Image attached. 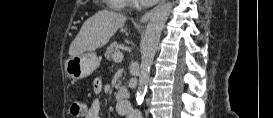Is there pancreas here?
<instances>
[{"mask_svg":"<svg viewBox=\"0 0 273 118\" xmlns=\"http://www.w3.org/2000/svg\"><path fill=\"white\" fill-rule=\"evenodd\" d=\"M119 52V47H118V44L117 42H112L108 48L106 49V52H105V57L108 59V60H111L113 58V55L115 53Z\"/></svg>","mask_w":273,"mask_h":118,"instance_id":"1","label":"pancreas"}]
</instances>
